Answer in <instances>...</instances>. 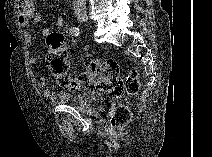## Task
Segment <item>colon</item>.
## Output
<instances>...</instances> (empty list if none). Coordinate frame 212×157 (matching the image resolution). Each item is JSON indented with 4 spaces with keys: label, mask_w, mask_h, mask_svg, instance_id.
I'll return each instance as SVG.
<instances>
[{
    "label": "colon",
    "mask_w": 212,
    "mask_h": 157,
    "mask_svg": "<svg viewBox=\"0 0 212 157\" xmlns=\"http://www.w3.org/2000/svg\"><path fill=\"white\" fill-rule=\"evenodd\" d=\"M48 50L46 63L56 82L71 91L87 89L93 86L115 97L136 95L140 90V80L135 71H130L125 78L115 60L93 61L84 71L77 75L70 72L67 51L73 40L69 35L52 33L47 37ZM130 119V111L126 106L118 105L111 117V126L119 128Z\"/></svg>",
    "instance_id": "obj_1"
}]
</instances>
